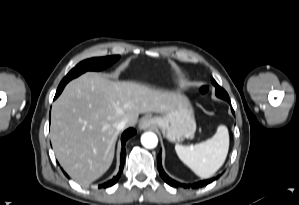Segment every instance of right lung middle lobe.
<instances>
[{"label": "right lung middle lobe", "mask_w": 299, "mask_h": 205, "mask_svg": "<svg viewBox=\"0 0 299 205\" xmlns=\"http://www.w3.org/2000/svg\"><path fill=\"white\" fill-rule=\"evenodd\" d=\"M120 58L119 55L91 58L80 62L76 65L61 81L58 89L64 87L70 80L84 73L85 71H100L115 63Z\"/></svg>", "instance_id": "obj_1"}]
</instances>
